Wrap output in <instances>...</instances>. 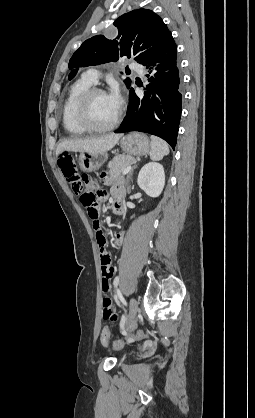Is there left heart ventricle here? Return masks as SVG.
I'll list each match as a JSON object with an SVG mask.
<instances>
[{"label": "left heart ventricle", "mask_w": 255, "mask_h": 418, "mask_svg": "<svg viewBox=\"0 0 255 418\" xmlns=\"http://www.w3.org/2000/svg\"><path fill=\"white\" fill-rule=\"evenodd\" d=\"M117 114V110L111 104L107 94H96L91 99L90 117L97 126L110 124Z\"/></svg>", "instance_id": "obj_1"}]
</instances>
